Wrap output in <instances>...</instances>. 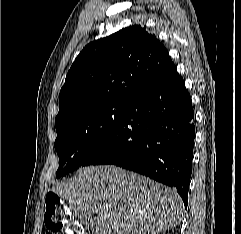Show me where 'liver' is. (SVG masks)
Segmentation results:
<instances>
[{"mask_svg":"<svg viewBox=\"0 0 241 234\" xmlns=\"http://www.w3.org/2000/svg\"><path fill=\"white\" fill-rule=\"evenodd\" d=\"M53 192L82 210L95 234H158L182 219L183 202L174 189L114 165L80 168Z\"/></svg>","mask_w":241,"mask_h":234,"instance_id":"obj_1","label":"liver"}]
</instances>
